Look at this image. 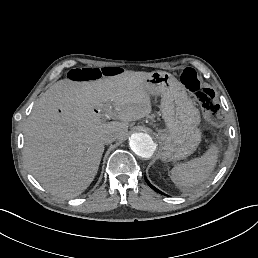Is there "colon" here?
<instances>
[{"label":"colon","mask_w":258,"mask_h":258,"mask_svg":"<svg viewBox=\"0 0 258 258\" xmlns=\"http://www.w3.org/2000/svg\"><path fill=\"white\" fill-rule=\"evenodd\" d=\"M121 73L118 67L78 68L68 72L67 78L74 82H92L104 77H114ZM182 84L190 91L200 106L210 114L217 112L215 94L212 89L204 86L192 68H186L180 75Z\"/></svg>","instance_id":"colon-1"}]
</instances>
